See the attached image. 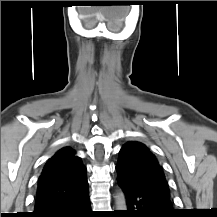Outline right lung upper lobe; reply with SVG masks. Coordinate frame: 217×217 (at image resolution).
Segmentation results:
<instances>
[{
  "label": "right lung upper lobe",
  "mask_w": 217,
  "mask_h": 217,
  "mask_svg": "<svg viewBox=\"0 0 217 217\" xmlns=\"http://www.w3.org/2000/svg\"><path fill=\"white\" fill-rule=\"evenodd\" d=\"M87 191L86 168L74 150L64 147L43 168L38 181L35 210Z\"/></svg>",
  "instance_id": "1"
}]
</instances>
